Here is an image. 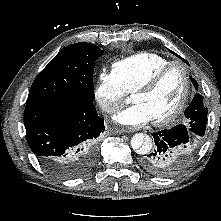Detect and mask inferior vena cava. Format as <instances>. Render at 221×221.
I'll return each instance as SVG.
<instances>
[{
    "instance_id": "602c4592",
    "label": "inferior vena cava",
    "mask_w": 221,
    "mask_h": 221,
    "mask_svg": "<svg viewBox=\"0 0 221 221\" xmlns=\"http://www.w3.org/2000/svg\"><path fill=\"white\" fill-rule=\"evenodd\" d=\"M103 110L107 113H113L116 111L114 107H109V106L104 107Z\"/></svg>"
}]
</instances>
